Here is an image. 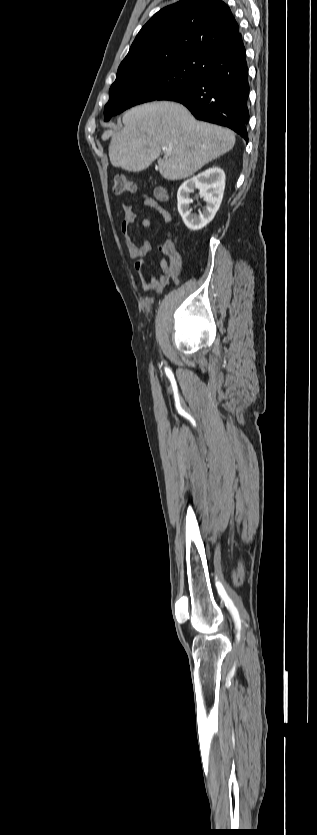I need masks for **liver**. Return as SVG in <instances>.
I'll list each match as a JSON object with an SVG mask.
<instances>
[{
    "label": "liver",
    "instance_id": "obj_1",
    "mask_svg": "<svg viewBox=\"0 0 317 835\" xmlns=\"http://www.w3.org/2000/svg\"><path fill=\"white\" fill-rule=\"evenodd\" d=\"M123 124L120 132L107 130L102 135L104 141L111 137V164L137 172L157 159V168L167 180L193 175L235 144L234 132L199 122L183 105L171 101L136 106L124 114Z\"/></svg>",
    "mask_w": 317,
    "mask_h": 835
}]
</instances>
